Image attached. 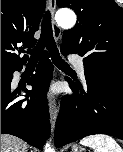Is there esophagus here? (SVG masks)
<instances>
[{
	"label": "esophagus",
	"instance_id": "34e87169",
	"mask_svg": "<svg viewBox=\"0 0 123 152\" xmlns=\"http://www.w3.org/2000/svg\"><path fill=\"white\" fill-rule=\"evenodd\" d=\"M49 3V9L52 15V29H53V35L56 41H58L61 37V29L59 26L55 23L53 19V15L56 10V0H48ZM57 114H58V108L56 101L54 99H51L49 102V115H50V125L52 131L55 128L56 120H57Z\"/></svg>",
	"mask_w": 123,
	"mask_h": 152
}]
</instances>
